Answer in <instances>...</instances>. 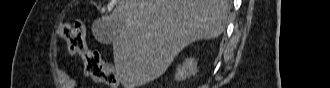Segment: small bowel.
<instances>
[{
    "label": "small bowel",
    "instance_id": "small-bowel-1",
    "mask_svg": "<svg viewBox=\"0 0 330 88\" xmlns=\"http://www.w3.org/2000/svg\"><path fill=\"white\" fill-rule=\"evenodd\" d=\"M54 75L60 85L67 87V88L73 87V85H74L73 79L70 76H68L65 72H63L59 69H56L54 71Z\"/></svg>",
    "mask_w": 330,
    "mask_h": 88
}]
</instances>
